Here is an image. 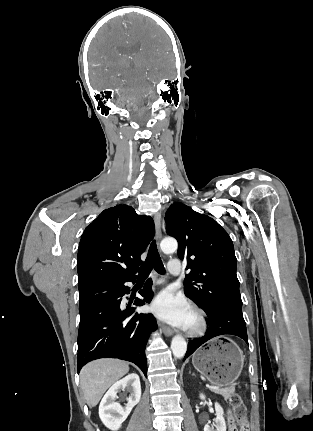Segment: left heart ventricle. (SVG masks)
I'll use <instances>...</instances> for the list:
<instances>
[{
  "instance_id": "b2bd125f",
  "label": "left heart ventricle",
  "mask_w": 313,
  "mask_h": 431,
  "mask_svg": "<svg viewBox=\"0 0 313 431\" xmlns=\"http://www.w3.org/2000/svg\"><path fill=\"white\" fill-rule=\"evenodd\" d=\"M193 323V316H192V314H191V317H190V325Z\"/></svg>"
}]
</instances>
